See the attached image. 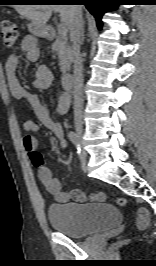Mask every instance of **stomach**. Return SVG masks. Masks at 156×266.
Here are the masks:
<instances>
[{
    "label": "stomach",
    "instance_id": "stomach-1",
    "mask_svg": "<svg viewBox=\"0 0 156 266\" xmlns=\"http://www.w3.org/2000/svg\"><path fill=\"white\" fill-rule=\"evenodd\" d=\"M29 29L35 35H42L44 33V29L33 26L32 23L29 25Z\"/></svg>",
    "mask_w": 156,
    "mask_h": 266
}]
</instances>
